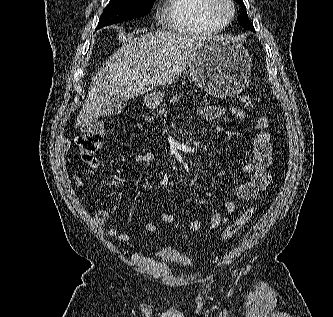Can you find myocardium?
Masks as SVG:
<instances>
[{
	"label": "myocardium",
	"mask_w": 333,
	"mask_h": 317,
	"mask_svg": "<svg viewBox=\"0 0 333 317\" xmlns=\"http://www.w3.org/2000/svg\"><path fill=\"white\" fill-rule=\"evenodd\" d=\"M222 4L229 8V13L226 16L220 11ZM206 11L213 20L226 26L233 20L236 14V6L233 0H208Z\"/></svg>",
	"instance_id": "obj_1"
}]
</instances>
